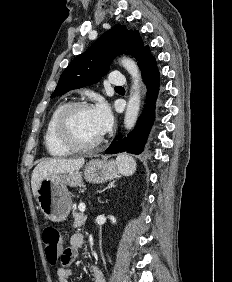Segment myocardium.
<instances>
[{"instance_id":"obj_1","label":"myocardium","mask_w":232,"mask_h":282,"mask_svg":"<svg viewBox=\"0 0 232 282\" xmlns=\"http://www.w3.org/2000/svg\"><path fill=\"white\" fill-rule=\"evenodd\" d=\"M92 105L87 101H74L66 104L60 111L55 123L57 140L72 151H88L97 148L104 140L103 135L91 143H80L71 134L69 123L72 114L79 109H89Z\"/></svg>"}]
</instances>
